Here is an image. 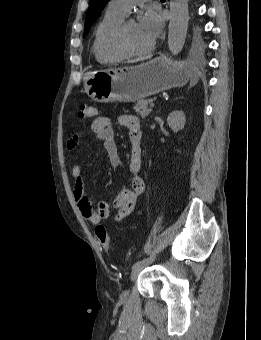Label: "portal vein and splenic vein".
<instances>
[{
    "instance_id": "18ae733b",
    "label": "portal vein and splenic vein",
    "mask_w": 261,
    "mask_h": 340,
    "mask_svg": "<svg viewBox=\"0 0 261 340\" xmlns=\"http://www.w3.org/2000/svg\"><path fill=\"white\" fill-rule=\"evenodd\" d=\"M155 104L154 103H151L150 104V108H154Z\"/></svg>"
}]
</instances>
